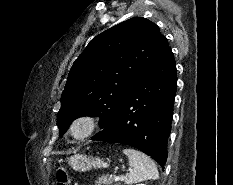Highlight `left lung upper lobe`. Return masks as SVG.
<instances>
[{
	"label": "left lung upper lobe",
	"instance_id": "obj_1",
	"mask_svg": "<svg viewBox=\"0 0 233 185\" xmlns=\"http://www.w3.org/2000/svg\"><path fill=\"white\" fill-rule=\"evenodd\" d=\"M168 46L159 27L140 17L93 38L74 62L61 96V136L81 116H100L101 128L113 123L137 81Z\"/></svg>",
	"mask_w": 233,
	"mask_h": 185
}]
</instances>
